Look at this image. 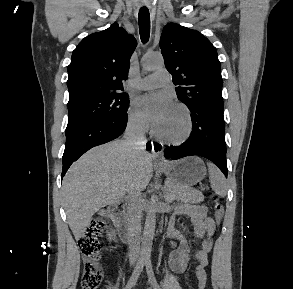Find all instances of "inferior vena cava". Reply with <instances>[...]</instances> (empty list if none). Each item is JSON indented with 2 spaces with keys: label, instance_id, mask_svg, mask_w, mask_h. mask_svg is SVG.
I'll return each instance as SVG.
<instances>
[{
  "label": "inferior vena cava",
  "instance_id": "obj_1",
  "mask_svg": "<svg viewBox=\"0 0 293 289\" xmlns=\"http://www.w3.org/2000/svg\"><path fill=\"white\" fill-rule=\"evenodd\" d=\"M145 130L141 122H131L128 124L125 134L124 142L127 146L142 151L144 150ZM127 197V213L130 218V233L129 240V257L132 261H137L140 251V233H141V210L140 200L141 192L132 187L128 190Z\"/></svg>",
  "mask_w": 293,
  "mask_h": 289
}]
</instances>
